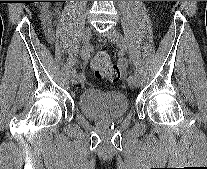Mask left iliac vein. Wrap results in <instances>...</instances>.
<instances>
[{
  "label": "left iliac vein",
  "instance_id": "4c4485c4",
  "mask_svg": "<svg viewBox=\"0 0 207 169\" xmlns=\"http://www.w3.org/2000/svg\"><path fill=\"white\" fill-rule=\"evenodd\" d=\"M105 36L108 40H110L112 43H114L118 48H120L122 51H125L126 43H125L123 35L118 30H116L115 28H110L107 31ZM127 82L130 87H138L139 86V79L137 76L129 77L127 79Z\"/></svg>",
  "mask_w": 207,
  "mask_h": 169
}]
</instances>
